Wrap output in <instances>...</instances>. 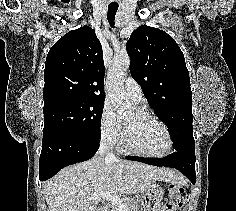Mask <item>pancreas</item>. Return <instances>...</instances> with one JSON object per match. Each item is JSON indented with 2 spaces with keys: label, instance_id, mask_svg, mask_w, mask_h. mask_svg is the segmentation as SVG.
<instances>
[{
  "label": "pancreas",
  "instance_id": "obj_1",
  "mask_svg": "<svg viewBox=\"0 0 236 211\" xmlns=\"http://www.w3.org/2000/svg\"><path fill=\"white\" fill-rule=\"evenodd\" d=\"M121 199L124 204L128 205L126 211H139L138 210V203L134 198L124 196ZM112 211H119V208L117 206H115Z\"/></svg>",
  "mask_w": 236,
  "mask_h": 211
}]
</instances>
